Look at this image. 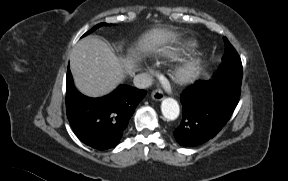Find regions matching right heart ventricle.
I'll use <instances>...</instances> for the list:
<instances>
[{
  "label": "right heart ventricle",
  "instance_id": "right-heart-ventricle-1",
  "mask_svg": "<svg viewBox=\"0 0 288 181\" xmlns=\"http://www.w3.org/2000/svg\"><path fill=\"white\" fill-rule=\"evenodd\" d=\"M198 46V43L193 39H185L178 41L175 44L166 46L160 51V55L167 59H176L180 55L193 51Z\"/></svg>",
  "mask_w": 288,
  "mask_h": 181
}]
</instances>
